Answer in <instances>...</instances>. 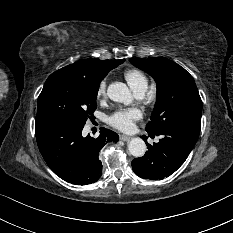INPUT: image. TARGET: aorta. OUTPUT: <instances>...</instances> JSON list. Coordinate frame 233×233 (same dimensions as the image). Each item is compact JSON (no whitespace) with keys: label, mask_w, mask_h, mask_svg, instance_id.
<instances>
[{"label":"aorta","mask_w":233,"mask_h":233,"mask_svg":"<svg viewBox=\"0 0 233 233\" xmlns=\"http://www.w3.org/2000/svg\"><path fill=\"white\" fill-rule=\"evenodd\" d=\"M107 94L112 101L123 103L125 105L130 104L133 100L129 88L126 86V84L121 82L110 84L107 89ZM128 150L132 156L139 158L144 156L147 146L143 139L133 138L128 143Z\"/></svg>","instance_id":"762f6f07"}]
</instances>
